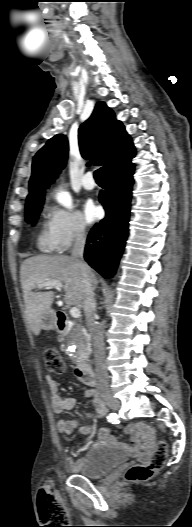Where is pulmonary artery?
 Returning <instances> with one entry per match:
<instances>
[{
  "instance_id": "e3ab8cb5",
  "label": "pulmonary artery",
  "mask_w": 192,
  "mask_h": 527,
  "mask_svg": "<svg viewBox=\"0 0 192 527\" xmlns=\"http://www.w3.org/2000/svg\"><path fill=\"white\" fill-rule=\"evenodd\" d=\"M82 186L86 190H92L95 188L96 184L94 182L93 176L91 172L86 173L82 178Z\"/></svg>"
}]
</instances>
